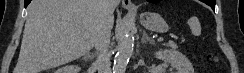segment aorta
Here are the masks:
<instances>
[{"mask_svg": "<svg viewBox=\"0 0 244 73\" xmlns=\"http://www.w3.org/2000/svg\"><path fill=\"white\" fill-rule=\"evenodd\" d=\"M134 37L130 30L124 33V36L118 46V52L115 56L113 73H124L129 59L133 53Z\"/></svg>", "mask_w": 244, "mask_h": 73, "instance_id": "1", "label": "aorta"}]
</instances>
